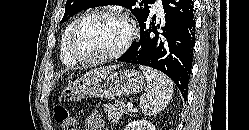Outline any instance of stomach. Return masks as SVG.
<instances>
[{"label":"stomach","mask_w":249,"mask_h":130,"mask_svg":"<svg viewBox=\"0 0 249 130\" xmlns=\"http://www.w3.org/2000/svg\"><path fill=\"white\" fill-rule=\"evenodd\" d=\"M144 86V75L135 69L98 71L68 82L63 87L61 97L68 102L88 97L114 99L137 94Z\"/></svg>","instance_id":"obj_1"}]
</instances>
